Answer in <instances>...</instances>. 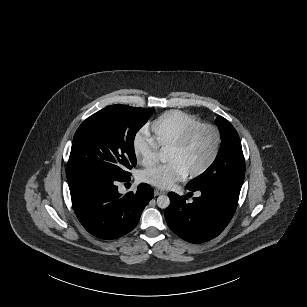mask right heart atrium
I'll list each match as a JSON object with an SVG mask.
<instances>
[{"label":"right heart atrium","mask_w":307,"mask_h":307,"mask_svg":"<svg viewBox=\"0 0 307 307\" xmlns=\"http://www.w3.org/2000/svg\"><path fill=\"white\" fill-rule=\"evenodd\" d=\"M132 149L135 160L143 166H152L157 160L159 148L147 136L135 138Z\"/></svg>","instance_id":"d8ad5b80"}]
</instances>
